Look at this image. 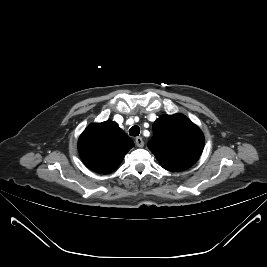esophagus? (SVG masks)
I'll list each match as a JSON object with an SVG mask.
<instances>
[{
	"label": "esophagus",
	"instance_id": "obj_1",
	"mask_svg": "<svg viewBox=\"0 0 267 267\" xmlns=\"http://www.w3.org/2000/svg\"><path fill=\"white\" fill-rule=\"evenodd\" d=\"M135 143L138 147H143L144 146V141L141 137H136Z\"/></svg>",
	"mask_w": 267,
	"mask_h": 267
}]
</instances>
